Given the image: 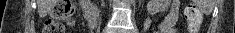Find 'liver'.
<instances>
[{
	"label": "liver",
	"mask_w": 235,
	"mask_h": 33,
	"mask_svg": "<svg viewBox=\"0 0 235 33\" xmlns=\"http://www.w3.org/2000/svg\"><path fill=\"white\" fill-rule=\"evenodd\" d=\"M38 13L41 17H45L53 6L52 0H37Z\"/></svg>",
	"instance_id": "6515ba94"
}]
</instances>
